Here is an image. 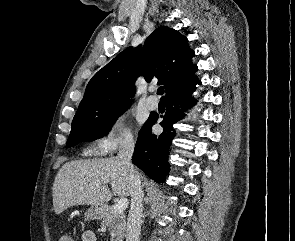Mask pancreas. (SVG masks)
I'll return each mask as SVG.
<instances>
[{"instance_id":"pancreas-1","label":"pancreas","mask_w":295,"mask_h":241,"mask_svg":"<svg viewBox=\"0 0 295 241\" xmlns=\"http://www.w3.org/2000/svg\"><path fill=\"white\" fill-rule=\"evenodd\" d=\"M102 226L111 231V241H123L126 230L125 215L115 213L113 206H109L103 216Z\"/></svg>"}]
</instances>
